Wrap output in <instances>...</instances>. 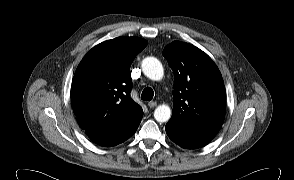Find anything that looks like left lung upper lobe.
<instances>
[{
    "instance_id": "5c2ea615",
    "label": "left lung upper lobe",
    "mask_w": 294,
    "mask_h": 180,
    "mask_svg": "<svg viewBox=\"0 0 294 180\" xmlns=\"http://www.w3.org/2000/svg\"><path fill=\"white\" fill-rule=\"evenodd\" d=\"M163 56L174 72L171 119L190 128L221 127L226 109L225 87L211 58L180 41L167 45Z\"/></svg>"
}]
</instances>
